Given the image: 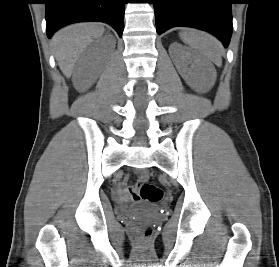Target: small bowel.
<instances>
[{"label":"small bowel","instance_id":"obj_1","mask_svg":"<svg viewBox=\"0 0 279 267\" xmlns=\"http://www.w3.org/2000/svg\"><path fill=\"white\" fill-rule=\"evenodd\" d=\"M116 194L123 200L133 199V201H141L139 192H134L133 188H127L125 184H118L116 187Z\"/></svg>","mask_w":279,"mask_h":267}]
</instances>
